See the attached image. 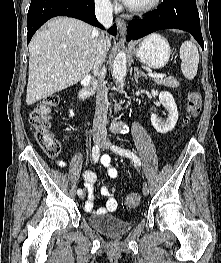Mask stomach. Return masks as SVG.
<instances>
[{"label": "stomach", "mask_w": 221, "mask_h": 263, "mask_svg": "<svg viewBox=\"0 0 221 263\" xmlns=\"http://www.w3.org/2000/svg\"><path fill=\"white\" fill-rule=\"evenodd\" d=\"M171 49L167 40L159 34L146 37L136 49L139 61L148 67L160 69L170 58Z\"/></svg>", "instance_id": "1"}]
</instances>
